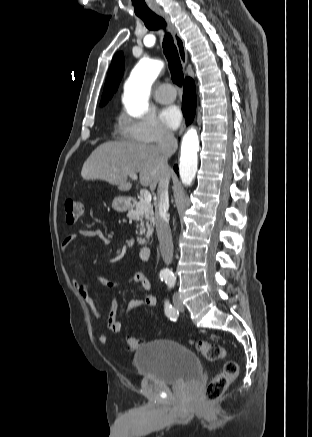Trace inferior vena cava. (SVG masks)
<instances>
[{
    "instance_id": "obj_1",
    "label": "inferior vena cava",
    "mask_w": 312,
    "mask_h": 437,
    "mask_svg": "<svg viewBox=\"0 0 312 437\" xmlns=\"http://www.w3.org/2000/svg\"><path fill=\"white\" fill-rule=\"evenodd\" d=\"M176 149L177 141L174 134L166 129L161 130L157 143V151L159 152L163 172L157 189L158 202L155 207V222L161 255L166 265H169L173 259L172 234L167 214L169 208L168 186L170 180L168 158Z\"/></svg>"
}]
</instances>
